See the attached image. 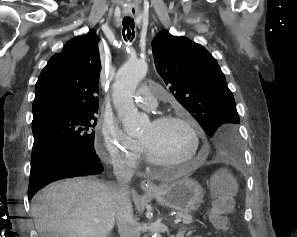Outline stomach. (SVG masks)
Instances as JSON below:
<instances>
[{
    "label": "stomach",
    "instance_id": "0dacf381",
    "mask_svg": "<svg viewBox=\"0 0 297 237\" xmlns=\"http://www.w3.org/2000/svg\"><path fill=\"white\" fill-rule=\"evenodd\" d=\"M148 194L159 204L181 213L196 211L203 201V189L196 181L188 177L181 178L170 184H162Z\"/></svg>",
    "mask_w": 297,
    "mask_h": 237
}]
</instances>
